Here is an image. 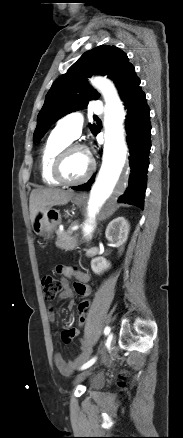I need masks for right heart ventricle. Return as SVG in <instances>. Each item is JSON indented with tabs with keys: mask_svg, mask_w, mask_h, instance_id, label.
I'll return each instance as SVG.
<instances>
[{
	"mask_svg": "<svg viewBox=\"0 0 183 438\" xmlns=\"http://www.w3.org/2000/svg\"><path fill=\"white\" fill-rule=\"evenodd\" d=\"M71 139L54 129L44 143L40 154V174L44 184L57 186L59 183L52 177L51 169L57 154L71 143Z\"/></svg>",
	"mask_w": 183,
	"mask_h": 438,
	"instance_id": "e07e8e85",
	"label": "right heart ventricle"
}]
</instances>
